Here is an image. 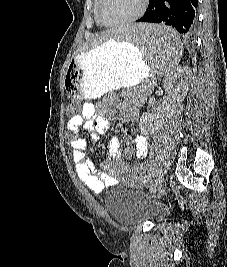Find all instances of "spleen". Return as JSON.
<instances>
[{
    "mask_svg": "<svg viewBox=\"0 0 227 267\" xmlns=\"http://www.w3.org/2000/svg\"><path fill=\"white\" fill-rule=\"evenodd\" d=\"M117 30L121 33L116 41L139 47L143 59L150 63V77H173L183 53V45L173 30L153 22H123Z\"/></svg>",
    "mask_w": 227,
    "mask_h": 267,
    "instance_id": "3e777b00",
    "label": "spleen"
}]
</instances>
